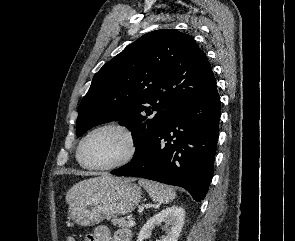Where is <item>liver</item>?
<instances>
[{
	"label": "liver",
	"instance_id": "liver-1",
	"mask_svg": "<svg viewBox=\"0 0 295 241\" xmlns=\"http://www.w3.org/2000/svg\"><path fill=\"white\" fill-rule=\"evenodd\" d=\"M117 180H120V178H115L107 173H104L101 176L80 181L69 189L66 195V202L70 204L76 196H79L80 194L91 189L97 188L100 185L112 183Z\"/></svg>",
	"mask_w": 295,
	"mask_h": 241
}]
</instances>
